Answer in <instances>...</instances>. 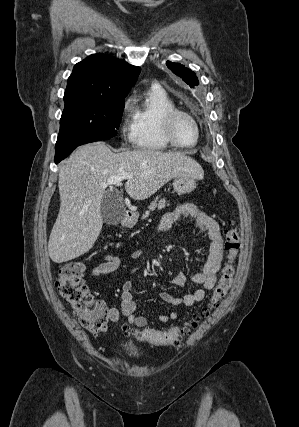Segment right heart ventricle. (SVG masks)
<instances>
[{
    "label": "right heart ventricle",
    "mask_w": 299,
    "mask_h": 427,
    "mask_svg": "<svg viewBox=\"0 0 299 427\" xmlns=\"http://www.w3.org/2000/svg\"><path fill=\"white\" fill-rule=\"evenodd\" d=\"M176 109L168 93L158 85L148 88L133 107V144L136 148L164 151L171 148L162 131V116Z\"/></svg>",
    "instance_id": "e07e8e85"
}]
</instances>
